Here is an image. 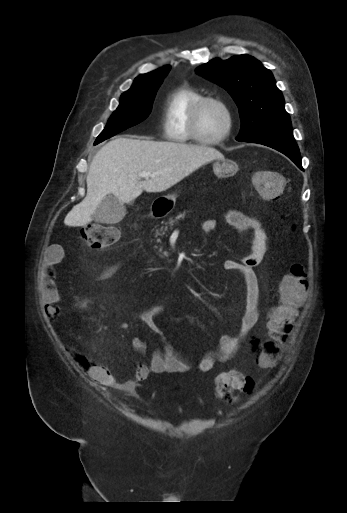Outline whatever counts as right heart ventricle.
<instances>
[{"label": "right heart ventricle", "instance_id": "right-heart-ventricle-1", "mask_svg": "<svg viewBox=\"0 0 347 513\" xmlns=\"http://www.w3.org/2000/svg\"><path fill=\"white\" fill-rule=\"evenodd\" d=\"M203 94L189 85H181L168 96L163 115L165 137L176 143H199L189 130L190 114Z\"/></svg>", "mask_w": 347, "mask_h": 513}]
</instances>
